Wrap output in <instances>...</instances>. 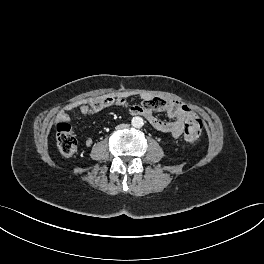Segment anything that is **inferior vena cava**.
<instances>
[{"label": "inferior vena cava", "mask_w": 264, "mask_h": 264, "mask_svg": "<svg viewBox=\"0 0 264 264\" xmlns=\"http://www.w3.org/2000/svg\"><path fill=\"white\" fill-rule=\"evenodd\" d=\"M132 126L130 124H121V125H117V130H125L126 128L127 129H130Z\"/></svg>", "instance_id": "inferior-vena-cava-1"}]
</instances>
